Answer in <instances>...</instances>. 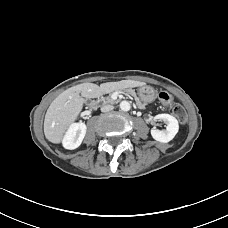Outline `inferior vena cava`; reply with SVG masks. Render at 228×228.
<instances>
[{"instance_id":"602c4592","label":"inferior vena cava","mask_w":228,"mask_h":228,"mask_svg":"<svg viewBox=\"0 0 228 228\" xmlns=\"http://www.w3.org/2000/svg\"><path fill=\"white\" fill-rule=\"evenodd\" d=\"M113 106L112 105H103L102 107H101V111L102 112H108V111H111V110H113Z\"/></svg>"}]
</instances>
